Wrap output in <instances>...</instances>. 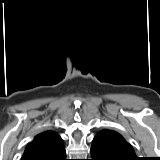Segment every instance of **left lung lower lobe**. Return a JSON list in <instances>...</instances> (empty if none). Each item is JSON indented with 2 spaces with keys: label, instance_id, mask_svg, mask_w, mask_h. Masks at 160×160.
<instances>
[{
  "label": "left lung lower lobe",
  "instance_id": "obj_1",
  "mask_svg": "<svg viewBox=\"0 0 160 160\" xmlns=\"http://www.w3.org/2000/svg\"><path fill=\"white\" fill-rule=\"evenodd\" d=\"M91 155L92 160H130L124 157L107 137L99 133L92 140Z\"/></svg>",
  "mask_w": 160,
  "mask_h": 160
}]
</instances>
